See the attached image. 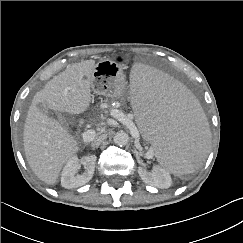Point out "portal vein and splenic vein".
Returning a JSON list of instances; mask_svg holds the SVG:
<instances>
[{
    "mask_svg": "<svg viewBox=\"0 0 243 243\" xmlns=\"http://www.w3.org/2000/svg\"><path fill=\"white\" fill-rule=\"evenodd\" d=\"M112 115L114 118H116L118 121L126 125L130 132L135 136L138 137L139 131L137 130V127L135 126L134 122L132 121V116L131 115H124L122 112L118 110H113ZM82 137L85 141L91 140L94 137V131L92 130H87L82 133ZM146 156L148 158H152L154 156V150L151 148L147 153Z\"/></svg>",
    "mask_w": 243,
    "mask_h": 243,
    "instance_id": "obj_1",
    "label": "portal vein and splenic vein"
}]
</instances>
